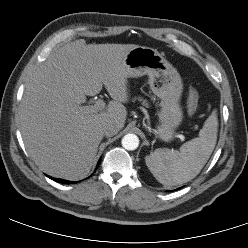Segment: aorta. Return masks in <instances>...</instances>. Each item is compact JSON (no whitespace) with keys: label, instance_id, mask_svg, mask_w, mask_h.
Instances as JSON below:
<instances>
[{"label":"aorta","instance_id":"762f6f07","mask_svg":"<svg viewBox=\"0 0 248 248\" xmlns=\"http://www.w3.org/2000/svg\"><path fill=\"white\" fill-rule=\"evenodd\" d=\"M121 143L126 150H135L139 146V138L135 134H127Z\"/></svg>","mask_w":248,"mask_h":248}]
</instances>
